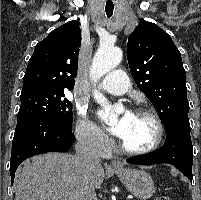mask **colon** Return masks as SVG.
Here are the masks:
<instances>
[{
    "label": "colon",
    "mask_w": 201,
    "mask_h": 200,
    "mask_svg": "<svg viewBox=\"0 0 201 200\" xmlns=\"http://www.w3.org/2000/svg\"><path fill=\"white\" fill-rule=\"evenodd\" d=\"M158 200H171L169 196H161Z\"/></svg>",
    "instance_id": "colon-1"
}]
</instances>
